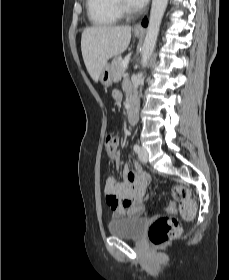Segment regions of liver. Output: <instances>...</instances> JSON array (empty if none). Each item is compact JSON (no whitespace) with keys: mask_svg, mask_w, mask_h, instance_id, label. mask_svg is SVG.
<instances>
[{"mask_svg":"<svg viewBox=\"0 0 229 280\" xmlns=\"http://www.w3.org/2000/svg\"><path fill=\"white\" fill-rule=\"evenodd\" d=\"M130 39V26H96L83 31L82 56L87 71L95 82H98L107 61L127 49Z\"/></svg>","mask_w":229,"mask_h":280,"instance_id":"1","label":"liver"}]
</instances>
